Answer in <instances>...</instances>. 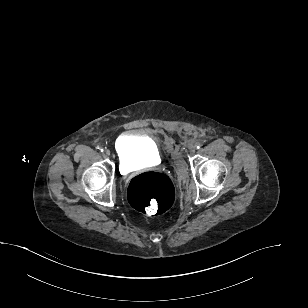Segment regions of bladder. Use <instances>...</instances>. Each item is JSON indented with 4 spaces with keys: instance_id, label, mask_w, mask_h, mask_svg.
Here are the masks:
<instances>
[{
    "instance_id": "bladder-1",
    "label": "bladder",
    "mask_w": 308,
    "mask_h": 308,
    "mask_svg": "<svg viewBox=\"0 0 308 308\" xmlns=\"http://www.w3.org/2000/svg\"><path fill=\"white\" fill-rule=\"evenodd\" d=\"M115 152L121 167L125 169L152 165L160 161L157 143L140 130H130L119 137Z\"/></svg>"
}]
</instances>
